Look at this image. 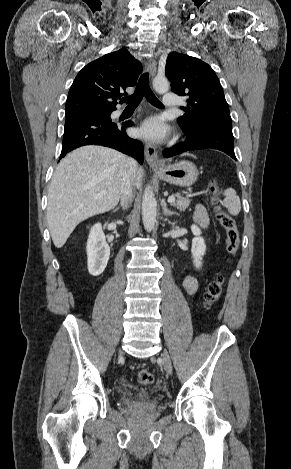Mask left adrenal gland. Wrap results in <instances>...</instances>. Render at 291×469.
<instances>
[{"instance_id":"1","label":"left adrenal gland","mask_w":291,"mask_h":469,"mask_svg":"<svg viewBox=\"0 0 291 469\" xmlns=\"http://www.w3.org/2000/svg\"><path fill=\"white\" fill-rule=\"evenodd\" d=\"M161 206H162L163 214H164L165 216H170V215H174V214H175V215H178L177 212H175V211L170 210V209L167 208V204H166V202H165L164 199H162V201H161Z\"/></svg>"}]
</instances>
